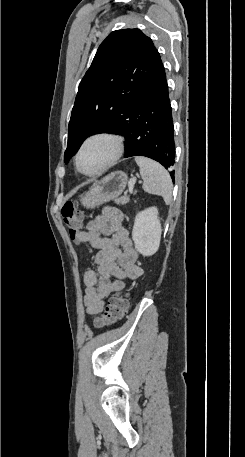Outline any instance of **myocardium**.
<instances>
[{
    "label": "myocardium",
    "instance_id": "1",
    "mask_svg": "<svg viewBox=\"0 0 245 457\" xmlns=\"http://www.w3.org/2000/svg\"><path fill=\"white\" fill-rule=\"evenodd\" d=\"M95 140H106L109 142V149H110V156L107 162L98 170L94 172H88L85 171L82 166H81V157L84 153V151L87 149L89 144ZM123 150V142L121 138L113 133L109 132H100V133H95L90 136H88L82 143L77 155H76V165L78 170L87 175V176H97L109 169L112 165L115 164V162L118 160V158L121 156Z\"/></svg>",
    "mask_w": 245,
    "mask_h": 457
}]
</instances>
